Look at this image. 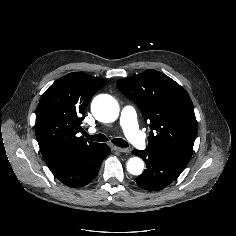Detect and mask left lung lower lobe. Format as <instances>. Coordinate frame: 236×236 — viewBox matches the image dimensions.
I'll use <instances>...</instances> for the list:
<instances>
[{
    "label": "left lung lower lobe",
    "instance_id": "left-lung-lower-lobe-1",
    "mask_svg": "<svg viewBox=\"0 0 236 236\" xmlns=\"http://www.w3.org/2000/svg\"><path fill=\"white\" fill-rule=\"evenodd\" d=\"M133 153L146 162V170L135 179L139 187L147 191H159L171 184L185 167L178 165L155 150H134Z\"/></svg>",
    "mask_w": 236,
    "mask_h": 236
}]
</instances>
